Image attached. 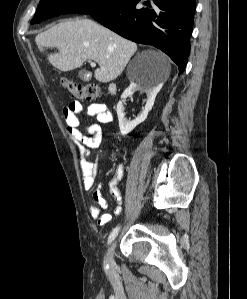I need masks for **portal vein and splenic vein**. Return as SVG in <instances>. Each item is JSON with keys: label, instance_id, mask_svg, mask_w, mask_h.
Wrapping results in <instances>:
<instances>
[{"label": "portal vein and splenic vein", "instance_id": "obj_1", "mask_svg": "<svg viewBox=\"0 0 247 299\" xmlns=\"http://www.w3.org/2000/svg\"><path fill=\"white\" fill-rule=\"evenodd\" d=\"M90 64H91V67H96V63L95 62H91Z\"/></svg>", "mask_w": 247, "mask_h": 299}]
</instances>
